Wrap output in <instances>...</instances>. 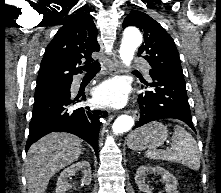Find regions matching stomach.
<instances>
[{
	"label": "stomach",
	"mask_w": 221,
	"mask_h": 193,
	"mask_svg": "<svg viewBox=\"0 0 221 193\" xmlns=\"http://www.w3.org/2000/svg\"><path fill=\"white\" fill-rule=\"evenodd\" d=\"M167 138V127L161 122L154 121L131 132L127 144L133 150L152 149L161 146Z\"/></svg>",
	"instance_id": "1"
}]
</instances>
